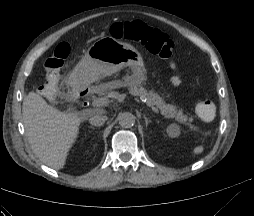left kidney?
I'll return each mask as SVG.
<instances>
[{
  "label": "left kidney",
  "mask_w": 254,
  "mask_h": 216,
  "mask_svg": "<svg viewBox=\"0 0 254 216\" xmlns=\"http://www.w3.org/2000/svg\"><path fill=\"white\" fill-rule=\"evenodd\" d=\"M166 131L167 134L172 138L178 137L180 135V127L177 124H171Z\"/></svg>",
  "instance_id": "obj_1"
}]
</instances>
